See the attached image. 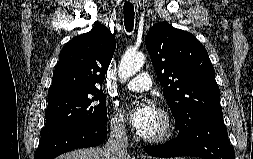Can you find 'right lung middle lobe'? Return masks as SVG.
I'll return each mask as SVG.
<instances>
[{
	"mask_svg": "<svg viewBox=\"0 0 253 159\" xmlns=\"http://www.w3.org/2000/svg\"><path fill=\"white\" fill-rule=\"evenodd\" d=\"M106 123V98L101 90L51 97L40 142L75 125Z\"/></svg>",
	"mask_w": 253,
	"mask_h": 159,
	"instance_id": "right-lung-middle-lobe-1",
	"label": "right lung middle lobe"
}]
</instances>
